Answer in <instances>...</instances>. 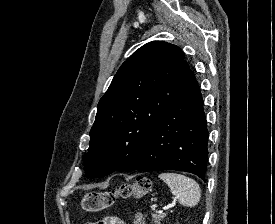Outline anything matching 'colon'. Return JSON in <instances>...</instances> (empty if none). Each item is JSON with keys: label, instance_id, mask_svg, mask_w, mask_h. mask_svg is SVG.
<instances>
[{"label": "colon", "instance_id": "1", "mask_svg": "<svg viewBox=\"0 0 275 224\" xmlns=\"http://www.w3.org/2000/svg\"><path fill=\"white\" fill-rule=\"evenodd\" d=\"M151 189V181L145 176H138L134 181L125 183L113 191L90 192L82 200V208L87 212H99L109 208L117 198H141ZM134 224H143V216L138 214Z\"/></svg>", "mask_w": 275, "mask_h": 224}]
</instances>
